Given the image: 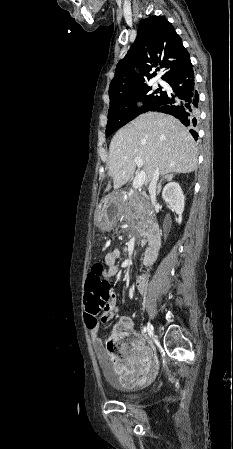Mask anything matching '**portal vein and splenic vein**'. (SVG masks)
Returning <instances> with one entry per match:
<instances>
[{"label":"portal vein and splenic vein","instance_id":"1","mask_svg":"<svg viewBox=\"0 0 233 449\" xmlns=\"http://www.w3.org/2000/svg\"><path fill=\"white\" fill-rule=\"evenodd\" d=\"M134 161L138 167L143 166V161L140 157H135ZM145 179H146V174L142 170L135 176V178L133 180V184H132L133 189H138V188L142 187L145 182Z\"/></svg>","mask_w":233,"mask_h":449}]
</instances>
